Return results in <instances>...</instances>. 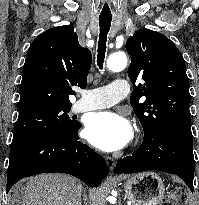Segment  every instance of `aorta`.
Here are the masks:
<instances>
[{"mask_svg":"<svg viewBox=\"0 0 199 205\" xmlns=\"http://www.w3.org/2000/svg\"><path fill=\"white\" fill-rule=\"evenodd\" d=\"M127 65V57L124 52H117L107 59V68L113 72L122 71Z\"/></svg>","mask_w":199,"mask_h":205,"instance_id":"obj_1","label":"aorta"}]
</instances>
